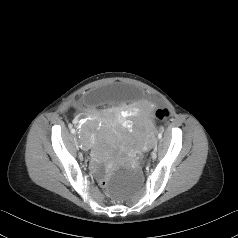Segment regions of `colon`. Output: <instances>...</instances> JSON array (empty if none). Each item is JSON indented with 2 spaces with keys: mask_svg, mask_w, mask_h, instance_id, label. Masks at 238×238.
Instances as JSON below:
<instances>
[{
  "mask_svg": "<svg viewBox=\"0 0 238 238\" xmlns=\"http://www.w3.org/2000/svg\"><path fill=\"white\" fill-rule=\"evenodd\" d=\"M156 116L160 120H165L168 116V112L165 109H159V110L156 111ZM109 184H110V179L108 177H102L98 181V186L102 190H107L109 188Z\"/></svg>",
  "mask_w": 238,
  "mask_h": 238,
  "instance_id": "obj_1",
  "label": "colon"
}]
</instances>
